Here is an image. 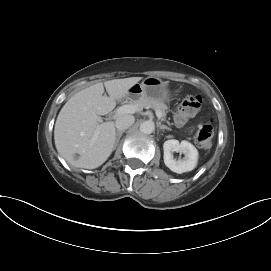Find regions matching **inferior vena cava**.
<instances>
[{
  "instance_id": "602c4592",
  "label": "inferior vena cava",
  "mask_w": 271,
  "mask_h": 271,
  "mask_svg": "<svg viewBox=\"0 0 271 271\" xmlns=\"http://www.w3.org/2000/svg\"><path fill=\"white\" fill-rule=\"evenodd\" d=\"M134 117L132 115L119 116L116 119V128L118 131H124L134 124Z\"/></svg>"
}]
</instances>
